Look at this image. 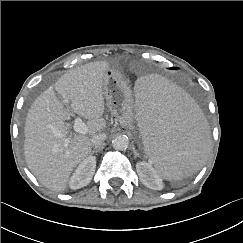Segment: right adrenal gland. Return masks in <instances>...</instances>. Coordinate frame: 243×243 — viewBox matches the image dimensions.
<instances>
[{
	"label": "right adrenal gland",
	"mask_w": 243,
	"mask_h": 243,
	"mask_svg": "<svg viewBox=\"0 0 243 243\" xmlns=\"http://www.w3.org/2000/svg\"><path fill=\"white\" fill-rule=\"evenodd\" d=\"M98 146H96L92 151H91V155L92 154H94V153H96V155H97V153H98Z\"/></svg>",
	"instance_id": "obj_1"
}]
</instances>
